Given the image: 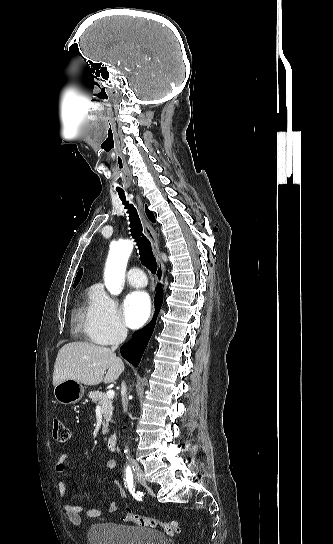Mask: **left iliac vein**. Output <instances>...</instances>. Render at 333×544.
<instances>
[{
    "label": "left iliac vein",
    "mask_w": 333,
    "mask_h": 544,
    "mask_svg": "<svg viewBox=\"0 0 333 544\" xmlns=\"http://www.w3.org/2000/svg\"><path fill=\"white\" fill-rule=\"evenodd\" d=\"M137 476H138V480H139L140 483H142V484L145 483V479L143 478V476L141 474H137Z\"/></svg>",
    "instance_id": "4c4485c4"
}]
</instances>
